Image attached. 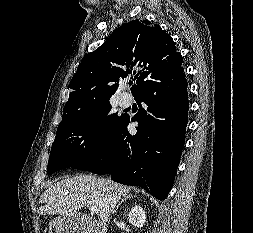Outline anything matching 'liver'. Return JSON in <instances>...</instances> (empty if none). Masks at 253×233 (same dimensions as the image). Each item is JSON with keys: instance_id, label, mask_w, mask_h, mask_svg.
Segmentation results:
<instances>
[{"instance_id": "1", "label": "liver", "mask_w": 253, "mask_h": 233, "mask_svg": "<svg viewBox=\"0 0 253 233\" xmlns=\"http://www.w3.org/2000/svg\"><path fill=\"white\" fill-rule=\"evenodd\" d=\"M130 188L110 179L93 175L64 178L44 191L39 202V215H77L81 208L96 206L100 226H105L121 200L131 196Z\"/></svg>"}]
</instances>
